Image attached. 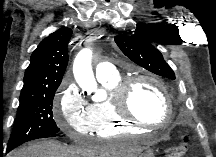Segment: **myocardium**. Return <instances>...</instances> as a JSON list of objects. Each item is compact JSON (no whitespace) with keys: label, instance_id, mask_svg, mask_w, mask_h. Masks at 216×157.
I'll list each match as a JSON object with an SVG mask.
<instances>
[{"label":"myocardium","instance_id":"myocardium-1","mask_svg":"<svg viewBox=\"0 0 216 157\" xmlns=\"http://www.w3.org/2000/svg\"><path fill=\"white\" fill-rule=\"evenodd\" d=\"M141 81H147L153 84L154 86H156L160 90L164 98L165 107H166V118L160 124H155V123H151L139 119L137 116L134 115V113L130 108V97H131L132 88L136 83ZM113 101H114L115 111L118 117L130 123L131 125L137 127H143V128L160 129L168 126L171 123L172 116H173V109H172V103H171V99L167 87L160 80L152 76L146 74H138V75L126 77L116 85L113 92Z\"/></svg>","mask_w":216,"mask_h":157}]
</instances>
